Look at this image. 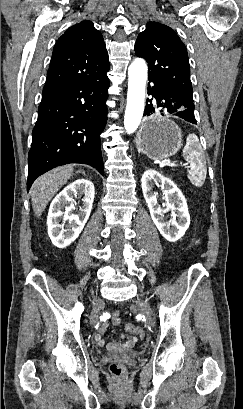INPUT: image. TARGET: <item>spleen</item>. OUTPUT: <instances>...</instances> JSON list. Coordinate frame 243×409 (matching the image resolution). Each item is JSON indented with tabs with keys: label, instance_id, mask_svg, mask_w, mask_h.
Masks as SVG:
<instances>
[{
	"label": "spleen",
	"instance_id": "1",
	"mask_svg": "<svg viewBox=\"0 0 243 409\" xmlns=\"http://www.w3.org/2000/svg\"><path fill=\"white\" fill-rule=\"evenodd\" d=\"M183 155L190 163L188 179L194 186H202L206 179L207 168L206 162L202 158L199 139L195 134H190L187 137Z\"/></svg>",
	"mask_w": 243,
	"mask_h": 409
}]
</instances>
